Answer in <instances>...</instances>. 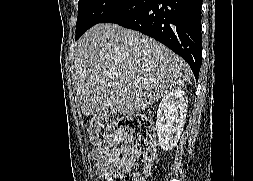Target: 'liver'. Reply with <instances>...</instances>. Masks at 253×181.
Masks as SVG:
<instances>
[{
	"label": "liver",
	"instance_id": "6515ba94",
	"mask_svg": "<svg viewBox=\"0 0 253 181\" xmlns=\"http://www.w3.org/2000/svg\"><path fill=\"white\" fill-rule=\"evenodd\" d=\"M73 69L85 116L140 112L191 77L187 63L165 45L110 23L95 25L77 41Z\"/></svg>",
	"mask_w": 253,
	"mask_h": 181
}]
</instances>
